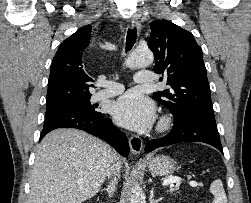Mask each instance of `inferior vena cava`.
Returning a JSON list of instances; mask_svg holds the SVG:
<instances>
[{"label":"inferior vena cava","mask_w":251,"mask_h":203,"mask_svg":"<svg viewBox=\"0 0 251 203\" xmlns=\"http://www.w3.org/2000/svg\"><path fill=\"white\" fill-rule=\"evenodd\" d=\"M119 173H120V164H119V162L116 161V163L111 168L110 174H114V175L119 176Z\"/></svg>","instance_id":"1"}]
</instances>
